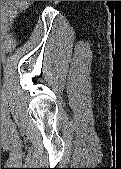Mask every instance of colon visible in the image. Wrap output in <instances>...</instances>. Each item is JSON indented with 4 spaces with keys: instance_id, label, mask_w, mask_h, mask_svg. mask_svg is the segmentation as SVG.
Here are the masks:
<instances>
[{
    "instance_id": "obj_1",
    "label": "colon",
    "mask_w": 121,
    "mask_h": 169,
    "mask_svg": "<svg viewBox=\"0 0 121 169\" xmlns=\"http://www.w3.org/2000/svg\"><path fill=\"white\" fill-rule=\"evenodd\" d=\"M17 10H24L29 6L30 1H8Z\"/></svg>"
}]
</instances>
